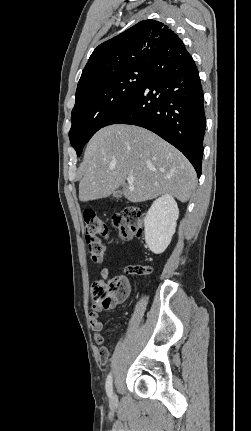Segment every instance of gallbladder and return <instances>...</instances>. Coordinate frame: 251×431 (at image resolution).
<instances>
[{"instance_id":"gallbladder-1","label":"gallbladder","mask_w":251,"mask_h":431,"mask_svg":"<svg viewBox=\"0 0 251 431\" xmlns=\"http://www.w3.org/2000/svg\"><path fill=\"white\" fill-rule=\"evenodd\" d=\"M113 196H114V197H117V198H118V197H121V196H122V191H121V190H118V191L114 192V193H113Z\"/></svg>"}]
</instances>
